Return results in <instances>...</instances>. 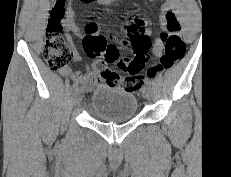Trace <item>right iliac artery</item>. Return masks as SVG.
<instances>
[{"label": "right iliac artery", "instance_id": "obj_1", "mask_svg": "<svg viewBox=\"0 0 231 177\" xmlns=\"http://www.w3.org/2000/svg\"><path fill=\"white\" fill-rule=\"evenodd\" d=\"M77 86H78V84H77V83H74V84L72 85V89L77 88Z\"/></svg>", "mask_w": 231, "mask_h": 177}]
</instances>
